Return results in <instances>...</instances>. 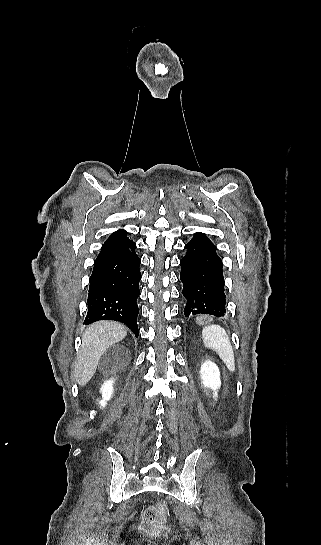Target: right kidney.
I'll list each match as a JSON object with an SVG mask.
<instances>
[{
  "label": "right kidney",
  "mask_w": 321,
  "mask_h": 545,
  "mask_svg": "<svg viewBox=\"0 0 321 545\" xmlns=\"http://www.w3.org/2000/svg\"><path fill=\"white\" fill-rule=\"evenodd\" d=\"M113 381H105L104 385H102L101 393L103 397V401H100L99 405L101 407H105L107 405L106 401H109L113 395V387H112Z\"/></svg>",
  "instance_id": "ca27d5eb"
}]
</instances>
